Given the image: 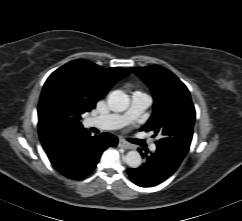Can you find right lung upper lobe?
<instances>
[{"instance_id":"right-lung-upper-lobe-1","label":"right lung upper lobe","mask_w":242,"mask_h":221,"mask_svg":"<svg viewBox=\"0 0 242 221\" xmlns=\"http://www.w3.org/2000/svg\"><path fill=\"white\" fill-rule=\"evenodd\" d=\"M130 72L120 67L102 68L90 61L73 60L54 71L43 86L38 105V129L44 149L83 131L81 116L95 108L108 90ZM79 117L78 124L60 123L63 108Z\"/></svg>"}]
</instances>
